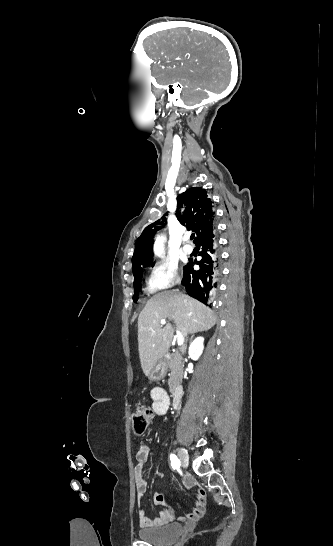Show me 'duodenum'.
<instances>
[{"label": "duodenum", "mask_w": 333, "mask_h": 546, "mask_svg": "<svg viewBox=\"0 0 333 546\" xmlns=\"http://www.w3.org/2000/svg\"><path fill=\"white\" fill-rule=\"evenodd\" d=\"M183 397V389L181 387H177L174 389L172 394V404L174 407H178L182 401Z\"/></svg>", "instance_id": "duodenum-1"}]
</instances>
